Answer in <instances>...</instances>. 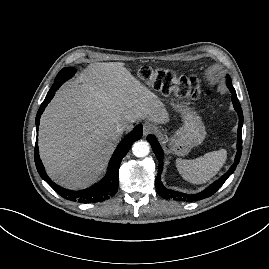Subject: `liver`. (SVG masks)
Here are the masks:
<instances>
[{"mask_svg":"<svg viewBox=\"0 0 269 269\" xmlns=\"http://www.w3.org/2000/svg\"><path fill=\"white\" fill-rule=\"evenodd\" d=\"M148 119L165 123L158 97L122 62L90 64L61 88L45 109L39 128L40 157L58 184L83 188L105 168L120 135L119 124Z\"/></svg>","mask_w":269,"mask_h":269,"instance_id":"liver-1","label":"liver"}]
</instances>
